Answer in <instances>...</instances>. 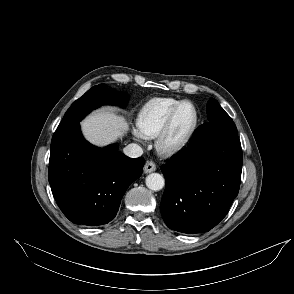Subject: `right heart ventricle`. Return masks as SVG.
<instances>
[{
  "label": "right heart ventricle",
  "instance_id": "1",
  "mask_svg": "<svg viewBox=\"0 0 294 294\" xmlns=\"http://www.w3.org/2000/svg\"><path fill=\"white\" fill-rule=\"evenodd\" d=\"M183 100L154 98L148 101L137 117L139 134L148 139L155 138L171 111Z\"/></svg>",
  "mask_w": 294,
  "mask_h": 294
}]
</instances>
